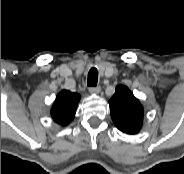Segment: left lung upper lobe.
I'll use <instances>...</instances> for the list:
<instances>
[{"mask_svg": "<svg viewBox=\"0 0 184 174\" xmlns=\"http://www.w3.org/2000/svg\"><path fill=\"white\" fill-rule=\"evenodd\" d=\"M110 113L115 126L127 134H136L143 123L144 110L139 100L124 85H118L109 100Z\"/></svg>", "mask_w": 184, "mask_h": 174, "instance_id": "1", "label": "left lung upper lobe"}]
</instances>
